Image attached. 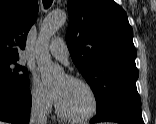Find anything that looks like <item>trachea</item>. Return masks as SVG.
<instances>
[{
	"label": "trachea",
	"mask_w": 156,
	"mask_h": 124,
	"mask_svg": "<svg viewBox=\"0 0 156 124\" xmlns=\"http://www.w3.org/2000/svg\"><path fill=\"white\" fill-rule=\"evenodd\" d=\"M53 0H43V4L45 8H48L51 6Z\"/></svg>",
	"instance_id": "3493384b"
}]
</instances>
